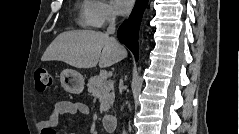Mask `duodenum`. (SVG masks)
Here are the masks:
<instances>
[{"mask_svg": "<svg viewBox=\"0 0 239 134\" xmlns=\"http://www.w3.org/2000/svg\"><path fill=\"white\" fill-rule=\"evenodd\" d=\"M102 124L107 132L112 133L116 127V117L114 115H106L102 119Z\"/></svg>", "mask_w": 239, "mask_h": 134, "instance_id": "1", "label": "duodenum"}]
</instances>
